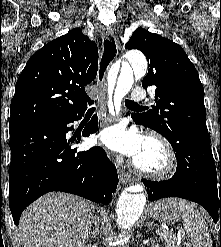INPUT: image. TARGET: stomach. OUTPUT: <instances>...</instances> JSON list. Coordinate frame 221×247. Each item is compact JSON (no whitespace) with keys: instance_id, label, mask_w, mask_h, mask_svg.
<instances>
[{"instance_id":"0dacf381","label":"stomach","mask_w":221,"mask_h":247,"mask_svg":"<svg viewBox=\"0 0 221 247\" xmlns=\"http://www.w3.org/2000/svg\"><path fill=\"white\" fill-rule=\"evenodd\" d=\"M182 202L183 200L177 198L158 201L151 207L150 215L160 221L175 222L181 216L180 205Z\"/></svg>"}]
</instances>
